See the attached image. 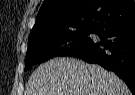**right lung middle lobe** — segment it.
Segmentation results:
<instances>
[{"label":"right lung middle lobe","mask_w":135,"mask_h":95,"mask_svg":"<svg viewBox=\"0 0 135 95\" xmlns=\"http://www.w3.org/2000/svg\"><path fill=\"white\" fill-rule=\"evenodd\" d=\"M93 30H78L61 34L42 33L31 36L25 70L32 65L58 56H73L91 42Z\"/></svg>","instance_id":"dd1d6c3e"}]
</instances>
